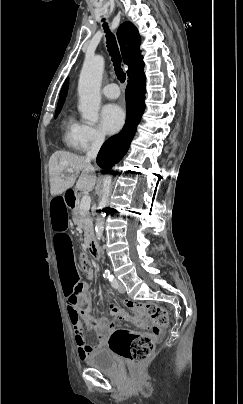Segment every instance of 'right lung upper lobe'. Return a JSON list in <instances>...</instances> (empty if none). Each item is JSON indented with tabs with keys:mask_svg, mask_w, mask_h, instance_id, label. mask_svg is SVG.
Segmentation results:
<instances>
[{
	"mask_svg": "<svg viewBox=\"0 0 243 404\" xmlns=\"http://www.w3.org/2000/svg\"><path fill=\"white\" fill-rule=\"evenodd\" d=\"M117 37L121 48L123 61L129 66L128 77L135 76L143 71L144 62L139 49L141 38L137 28L131 22H124L117 31ZM68 90V79L63 84L60 92L58 106L62 107Z\"/></svg>",
	"mask_w": 243,
	"mask_h": 404,
	"instance_id": "obj_1",
	"label": "right lung upper lobe"
}]
</instances>
